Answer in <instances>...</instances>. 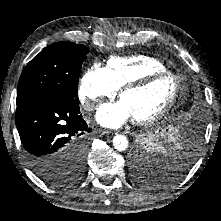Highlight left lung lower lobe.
Instances as JSON below:
<instances>
[{"label": "left lung lower lobe", "instance_id": "obj_1", "mask_svg": "<svg viewBox=\"0 0 221 221\" xmlns=\"http://www.w3.org/2000/svg\"><path fill=\"white\" fill-rule=\"evenodd\" d=\"M202 131L203 121H201V118L197 117H193L188 122H183L182 125L175 122L169 128V134L167 136L169 142L165 143L164 145L167 158L172 160L176 156L178 157V154H181L183 159H177L182 165L178 170L171 171L173 174H171L170 177L166 176L163 183L179 178L185 174L194 158ZM134 153L132 155V164L136 158ZM157 156L159 160L162 158L165 159V157H163V155L160 153H158Z\"/></svg>", "mask_w": 221, "mask_h": 221}]
</instances>
